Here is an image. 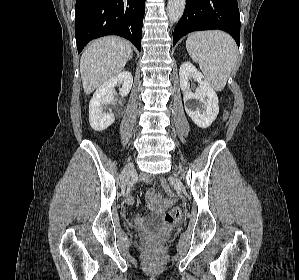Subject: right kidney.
I'll use <instances>...</instances> for the list:
<instances>
[{
	"label": "right kidney",
	"mask_w": 299,
	"mask_h": 280,
	"mask_svg": "<svg viewBox=\"0 0 299 280\" xmlns=\"http://www.w3.org/2000/svg\"><path fill=\"white\" fill-rule=\"evenodd\" d=\"M133 83V77L129 71H122L105 81L94 93L89 104V123L93 130L103 131L115 121L111 109H105L113 102L117 84H122L119 94L124 97L129 94Z\"/></svg>",
	"instance_id": "1"
}]
</instances>
